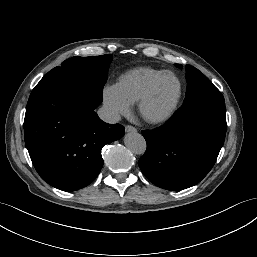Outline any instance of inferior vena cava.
Wrapping results in <instances>:
<instances>
[{
    "label": "inferior vena cava",
    "mask_w": 257,
    "mask_h": 257,
    "mask_svg": "<svg viewBox=\"0 0 257 257\" xmlns=\"http://www.w3.org/2000/svg\"><path fill=\"white\" fill-rule=\"evenodd\" d=\"M97 113L100 119L106 123L114 124L120 121V114L109 107L103 106Z\"/></svg>",
    "instance_id": "602c4592"
}]
</instances>
